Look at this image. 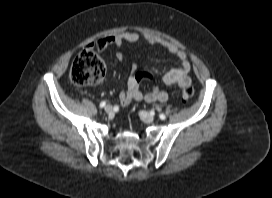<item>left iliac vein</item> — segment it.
I'll list each match as a JSON object with an SVG mask.
<instances>
[{
  "instance_id": "left-iliac-vein-1",
  "label": "left iliac vein",
  "mask_w": 272,
  "mask_h": 198,
  "mask_svg": "<svg viewBox=\"0 0 272 198\" xmlns=\"http://www.w3.org/2000/svg\"><path fill=\"white\" fill-rule=\"evenodd\" d=\"M139 115L141 119L146 123H152L154 121V117L146 111H140Z\"/></svg>"
}]
</instances>
